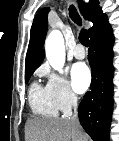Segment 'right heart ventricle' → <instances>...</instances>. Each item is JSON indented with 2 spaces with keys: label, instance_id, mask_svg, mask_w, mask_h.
<instances>
[{
  "label": "right heart ventricle",
  "instance_id": "1",
  "mask_svg": "<svg viewBox=\"0 0 119 141\" xmlns=\"http://www.w3.org/2000/svg\"><path fill=\"white\" fill-rule=\"evenodd\" d=\"M29 103L35 114L44 117H57L59 109L46 86L32 83L29 89Z\"/></svg>",
  "mask_w": 119,
  "mask_h": 141
}]
</instances>
